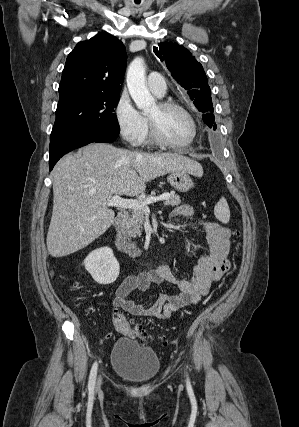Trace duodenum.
Instances as JSON below:
<instances>
[{"mask_svg": "<svg viewBox=\"0 0 299 427\" xmlns=\"http://www.w3.org/2000/svg\"><path fill=\"white\" fill-rule=\"evenodd\" d=\"M128 218L129 213L127 211H120L118 213L112 226L113 242L116 248L125 255L132 258H139L142 256L143 251L127 238L124 231V226Z\"/></svg>", "mask_w": 299, "mask_h": 427, "instance_id": "410a0bca", "label": "duodenum"}]
</instances>
